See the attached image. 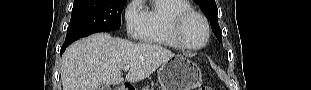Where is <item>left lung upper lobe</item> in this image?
Masks as SVG:
<instances>
[{
  "mask_svg": "<svg viewBox=\"0 0 311 90\" xmlns=\"http://www.w3.org/2000/svg\"><path fill=\"white\" fill-rule=\"evenodd\" d=\"M195 2L200 6L208 20H210L212 31L217 39L222 42V34L217 21L218 9L215 0H195Z\"/></svg>",
  "mask_w": 311,
  "mask_h": 90,
  "instance_id": "5c2ea615",
  "label": "left lung upper lobe"
}]
</instances>
